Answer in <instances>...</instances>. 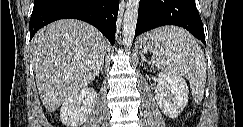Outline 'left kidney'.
I'll return each mask as SVG.
<instances>
[{"mask_svg":"<svg viewBox=\"0 0 243 127\" xmlns=\"http://www.w3.org/2000/svg\"><path fill=\"white\" fill-rule=\"evenodd\" d=\"M161 87L155 94V99L162 112L177 118L188 103V86L186 81L177 75L160 73Z\"/></svg>","mask_w":243,"mask_h":127,"instance_id":"1","label":"left kidney"}]
</instances>
